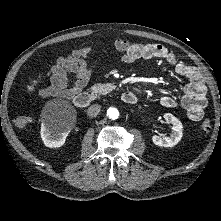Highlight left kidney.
I'll use <instances>...</instances> for the list:
<instances>
[{
    "label": "left kidney",
    "mask_w": 221,
    "mask_h": 221,
    "mask_svg": "<svg viewBox=\"0 0 221 221\" xmlns=\"http://www.w3.org/2000/svg\"><path fill=\"white\" fill-rule=\"evenodd\" d=\"M164 119L167 122H170L172 127V132L169 136L161 137L158 135L152 136V141L155 145H158L160 147H173L175 146L182 138V131H183V125L179 121L178 118H176L171 113H165Z\"/></svg>",
    "instance_id": "5707ae66"
}]
</instances>
